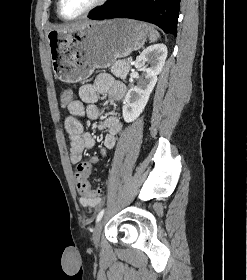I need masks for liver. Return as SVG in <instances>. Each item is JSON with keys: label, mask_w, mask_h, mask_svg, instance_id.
Masks as SVG:
<instances>
[{"label": "liver", "mask_w": 247, "mask_h": 280, "mask_svg": "<svg viewBox=\"0 0 247 280\" xmlns=\"http://www.w3.org/2000/svg\"><path fill=\"white\" fill-rule=\"evenodd\" d=\"M91 23L92 21L75 22V23H70L68 25L57 26L55 27V30L59 32L73 31V30L84 28Z\"/></svg>", "instance_id": "1"}]
</instances>
